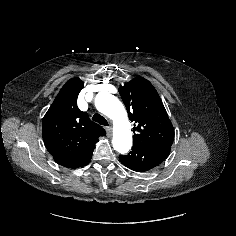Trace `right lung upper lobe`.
Instances as JSON below:
<instances>
[{"mask_svg":"<svg viewBox=\"0 0 236 236\" xmlns=\"http://www.w3.org/2000/svg\"><path fill=\"white\" fill-rule=\"evenodd\" d=\"M79 78L68 80L45 114L42 136L56 163L68 167L95 148L106 131L79 110L77 97L83 88Z\"/></svg>","mask_w":236,"mask_h":236,"instance_id":"cb5924a9","label":"right lung upper lobe"}]
</instances>
